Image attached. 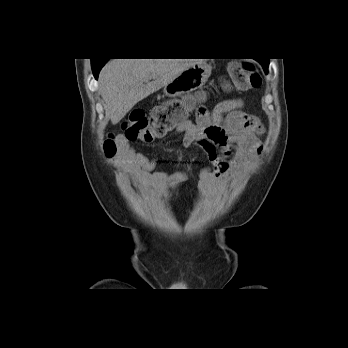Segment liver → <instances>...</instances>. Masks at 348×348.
<instances>
[{"mask_svg":"<svg viewBox=\"0 0 348 348\" xmlns=\"http://www.w3.org/2000/svg\"><path fill=\"white\" fill-rule=\"evenodd\" d=\"M198 59H111L99 73L106 116L117 124L136 103L158 91Z\"/></svg>","mask_w":348,"mask_h":348,"instance_id":"liver-1","label":"liver"}]
</instances>
